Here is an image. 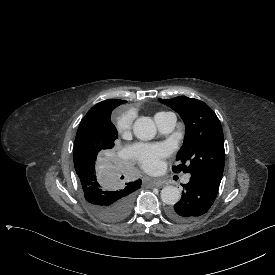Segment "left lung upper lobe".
<instances>
[{
  "mask_svg": "<svg viewBox=\"0 0 275 275\" xmlns=\"http://www.w3.org/2000/svg\"><path fill=\"white\" fill-rule=\"evenodd\" d=\"M159 101L178 112L186 127L183 146L177 154L180 163L173 172L207 174L222 178L225 151L219 119L204 102L179 96Z\"/></svg>",
  "mask_w": 275,
  "mask_h": 275,
  "instance_id": "5c2ea615",
  "label": "left lung upper lobe"
}]
</instances>
